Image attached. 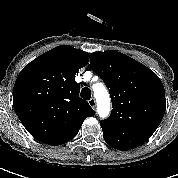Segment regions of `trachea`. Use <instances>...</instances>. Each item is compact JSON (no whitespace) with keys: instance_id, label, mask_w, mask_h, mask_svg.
I'll list each match as a JSON object with an SVG mask.
<instances>
[{"instance_id":"1","label":"trachea","mask_w":178,"mask_h":178,"mask_svg":"<svg viewBox=\"0 0 178 178\" xmlns=\"http://www.w3.org/2000/svg\"><path fill=\"white\" fill-rule=\"evenodd\" d=\"M80 96L85 100H89L91 98V90L89 88H87V87H84L81 90Z\"/></svg>"}]
</instances>
